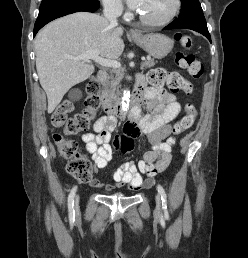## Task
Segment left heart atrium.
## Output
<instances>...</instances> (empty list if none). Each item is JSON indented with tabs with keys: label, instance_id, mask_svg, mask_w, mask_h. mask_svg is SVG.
<instances>
[{
	"label": "left heart atrium",
	"instance_id": "39dd6f15",
	"mask_svg": "<svg viewBox=\"0 0 248 258\" xmlns=\"http://www.w3.org/2000/svg\"><path fill=\"white\" fill-rule=\"evenodd\" d=\"M128 1L132 9H136V10L140 9L142 0H128Z\"/></svg>",
	"mask_w": 248,
	"mask_h": 258
}]
</instances>
